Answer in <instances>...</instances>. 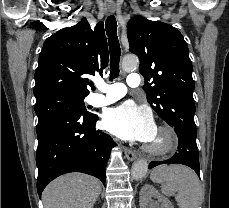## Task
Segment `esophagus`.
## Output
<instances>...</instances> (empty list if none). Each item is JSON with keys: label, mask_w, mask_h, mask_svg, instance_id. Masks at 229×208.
<instances>
[{"label": "esophagus", "mask_w": 229, "mask_h": 208, "mask_svg": "<svg viewBox=\"0 0 229 208\" xmlns=\"http://www.w3.org/2000/svg\"><path fill=\"white\" fill-rule=\"evenodd\" d=\"M108 11L113 13L115 11V8L112 6L108 7ZM125 156L129 161H133L137 158V154L132 151L130 148L125 147L124 148Z\"/></svg>", "instance_id": "esophagus-1"}]
</instances>
